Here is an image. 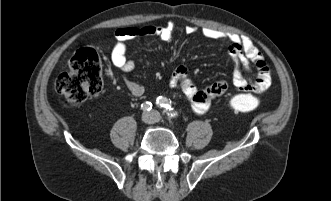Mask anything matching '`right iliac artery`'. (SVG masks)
Returning <instances> with one entry per match:
<instances>
[{"label": "right iliac artery", "instance_id": "right-iliac-artery-1", "mask_svg": "<svg viewBox=\"0 0 331 201\" xmlns=\"http://www.w3.org/2000/svg\"><path fill=\"white\" fill-rule=\"evenodd\" d=\"M141 107L144 111H150L152 109V103L144 102V103H142Z\"/></svg>", "mask_w": 331, "mask_h": 201}]
</instances>
